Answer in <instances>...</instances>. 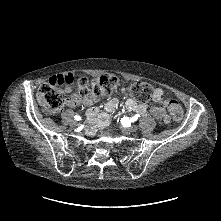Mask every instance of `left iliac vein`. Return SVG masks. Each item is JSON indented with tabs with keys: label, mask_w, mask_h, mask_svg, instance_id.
Segmentation results:
<instances>
[{
	"label": "left iliac vein",
	"mask_w": 221,
	"mask_h": 221,
	"mask_svg": "<svg viewBox=\"0 0 221 221\" xmlns=\"http://www.w3.org/2000/svg\"><path fill=\"white\" fill-rule=\"evenodd\" d=\"M137 129H138V126H137V125H131V126L128 127V128H122V131H123L124 133H132V132L137 131Z\"/></svg>",
	"instance_id": "obj_1"
}]
</instances>
